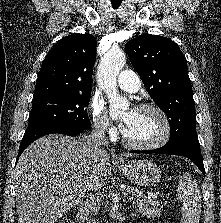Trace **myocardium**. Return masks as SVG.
<instances>
[{
    "label": "myocardium",
    "instance_id": "1",
    "mask_svg": "<svg viewBox=\"0 0 221 223\" xmlns=\"http://www.w3.org/2000/svg\"><path fill=\"white\" fill-rule=\"evenodd\" d=\"M136 109L140 111H152L156 113L160 117L163 124L162 133L160 137L153 142L137 143L128 139L124 131H122L121 139H122L123 144H125L129 148L142 150V151L156 150L164 146L170 139L171 132H172V126H171V122L168 115L160 107L153 104H142V105L137 106Z\"/></svg>",
    "mask_w": 221,
    "mask_h": 223
}]
</instances>
